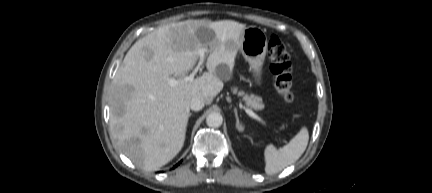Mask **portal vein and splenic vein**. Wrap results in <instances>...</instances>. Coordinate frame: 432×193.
Wrapping results in <instances>:
<instances>
[{
    "instance_id": "obj_1",
    "label": "portal vein and splenic vein",
    "mask_w": 432,
    "mask_h": 193,
    "mask_svg": "<svg viewBox=\"0 0 432 193\" xmlns=\"http://www.w3.org/2000/svg\"><path fill=\"white\" fill-rule=\"evenodd\" d=\"M205 52H206L205 49H200V50L198 51V54H199V62H198V65L196 66V68L194 69V71H193L189 76H186V77L184 78V81L192 82V81L194 80L195 75L197 74V72H198L199 70H201V67H202V65H203V63H204V60H205ZM167 83H168L170 86L175 87V86H177V85L179 84V81L176 80L175 78H168V79H167ZM245 111H246V113H247L250 117H252V118H254V119L258 120V121H262V119H261L258 115H256V114H255L251 109L246 108Z\"/></svg>"
}]
</instances>
